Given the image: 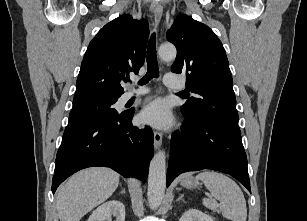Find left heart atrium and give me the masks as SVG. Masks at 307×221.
<instances>
[{
  "instance_id": "1",
  "label": "left heart atrium",
  "mask_w": 307,
  "mask_h": 221,
  "mask_svg": "<svg viewBox=\"0 0 307 221\" xmlns=\"http://www.w3.org/2000/svg\"><path fill=\"white\" fill-rule=\"evenodd\" d=\"M140 118L142 122L159 129H166L172 123L170 108L163 99H156L146 105Z\"/></svg>"
}]
</instances>
